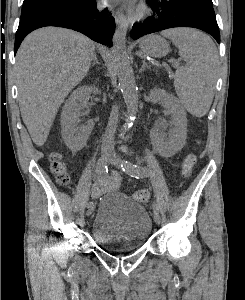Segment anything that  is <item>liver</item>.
I'll return each mask as SVG.
<instances>
[{"label":"liver","instance_id":"obj_1","mask_svg":"<svg viewBox=\"0 0 245 300\" xmlns=\"http://www.w3.org/2000/svg\"><path fill=\"white\" fill-rule=\"evenodd\" d=\"M94 55L91 39L64 28H41L22 42L15 65L19 105L37 146L46 142L59 107L86 76Z\"/></svg>","mask_w":245,"mask_h":300}]
</instances>
